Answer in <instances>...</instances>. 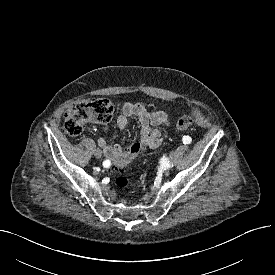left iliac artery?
<instances>
[{
	"instance_id": "left-iliac-artery-1",
	"label": "left iliac artery",
	"mask_w": 275,
	"mask_h": 275,
	"mask_svg": "<svg viewBox=\"0 0 275 275\" xmlns=\"http://www.w3.org/2000/svg\"><path fill=\"white\" fill-rule=\"evenodd\" d=\"M182 141H183L184 144H190L192 139H191L190 136H184Z\"/></svg>"
}]
</instances>
